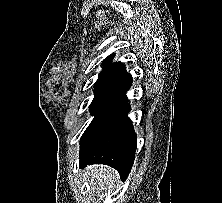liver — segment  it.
I'll use <instances>...</instances> for the list:
<instances>
[{"label": "liver", "instance_id": "1", "mask_svg": "<svg viewBox=\"0 0 222 203\" xmlns=\"http://www.w3.org/2000/svg\"><path fill=\"white\" fill-rule=\"evenodd\" d=\"M85 175L90 176L92 188L98 191L110 190L118 179L117 171L103 165H92L86 168Z\"/></svg>", "mask_w": 222, "mask_h": 203}]
</instances>
